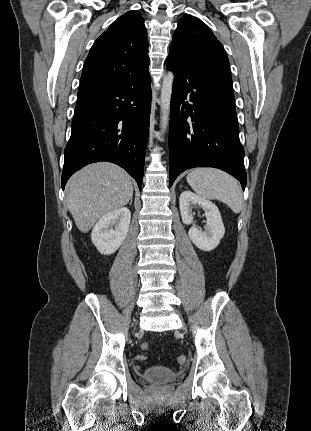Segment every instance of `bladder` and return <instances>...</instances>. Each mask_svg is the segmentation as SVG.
Wrapping results in <instances>:
<instances>
[{
    "label": "bladder",
    "mask_w": 311,
    "mask_h": 431,
    "mask_svg": "<svg viewBox=\"0 0 311 431\" xmlns=\"http://www.w3.org/2000/svg\"><path fill=\"white\" fill-rule=\"evenodd\" d=\"M142 378L148 383L167 384L177 378V373L166 366L154 365L143 371Z\"/></svg>",
    "instance_id": "31cf9c89"
}]
</instances>
